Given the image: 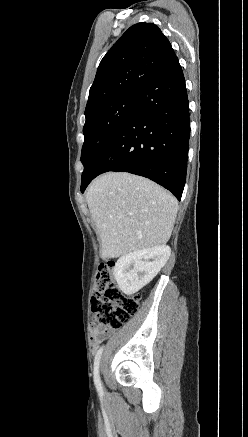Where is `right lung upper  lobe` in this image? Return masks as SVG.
<instances>
[{"instance_id": "cb5924a9", "label": "right lung upper lobe", "mask_w": 248, "mask_h": 437, "mask_svg": "<svg viewBox=\"0 0 248 437\" xmlns=\"http://www.w3.org/2000/svg\"><path fill=\"white\" fill-rule=\"evenodd\" d=\"M176 57L153 23L131 26L101 60L90 88L85 116L128 93H139Z\"/></svg>"}]
</instances>
